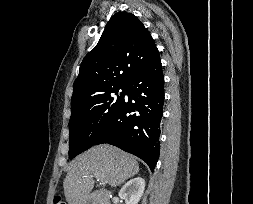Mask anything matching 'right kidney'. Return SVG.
<instances>
[{
  "instance_id": "ca27d5eb",
  "label": "right kidney",
  "mask_w": 253,
  "mask_h": 204,
  "mask_svg": "<svg viewBox=\"0 0 253 204\" xmlns=\"http://www.w3.org/2000/svg\"><path fill=\"white\" fill-rule=\"evenodd\" d=\"M145 190V180L136 177L128 181L119 191V197L125 204H138Z\"/></svg>"
}]
</instances>
